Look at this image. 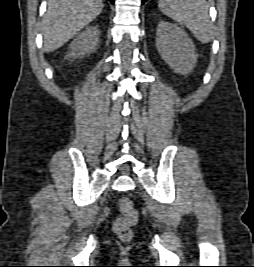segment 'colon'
Masks as SVG:
<instances>
[{
	"label": "colon",
	"mask_w": 254,
	"mask_h": 267,
	"mask_svg": "<svg viewBox=\"0 0 254 267\" xmlns=\"http://www.w3.org/2000/svg\"><path fill=\"white\" fill-rule=\"evenodd\" d=\"M119 208L122 216L114 221L113 229L121 240L128 241L132 237V227L138 221V213L128 197L119 200Z\"/></svg>",
	"instance_id": "obj_1"
}]
</instances>
